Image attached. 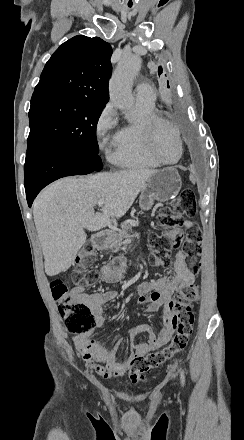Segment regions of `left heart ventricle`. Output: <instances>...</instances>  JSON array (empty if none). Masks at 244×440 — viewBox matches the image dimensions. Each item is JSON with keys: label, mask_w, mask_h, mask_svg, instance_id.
I'll list each match as a JSON object with an SVG mask.
<instances>
[{"label": "left heart ventricle", "mask_w": 244, "mask_h": 440, "mask_svg": "<svg viewBox=\"0 0 244 440\" xmlns=\"http://www.w3.org/2000/svg\"><path fill=\"white\" fill-rule=\"evenodd\" d=\"M160 131L156 134L154 142L156 143L155 149L158 150L159 155L167 160L172 161L177 156L178 151V137L176 133L167 127L162 130L159 126L155 127Z\"/></svg>", "instance_id": "left-heart-ventricle-1"}]
</instances>
